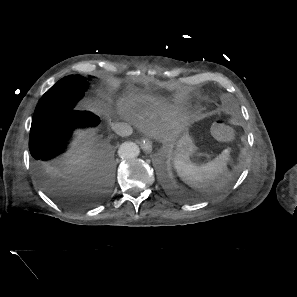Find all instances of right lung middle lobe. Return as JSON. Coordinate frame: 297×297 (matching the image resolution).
I'll list each match as a JSON object with an SVG mask.
<instances>
[{
  "label": "right lung middle lobe",
  "instance_id": "obj_1",
  "mask_svg": "<svg viewBox=\"0 0 297 297\" xmlns=\"http://www.w3.org/2000/svg\"><path fill=\"white\" fill-rule=\"evenodd\" d=\"M88 87L87 79L79 75H70L58 81L39 100L32 121L47 117L58 106L72 100L79 101Z\"/></svg>",
  "mask_w": 297,
  "mask_h": 297
}]
</instances>
